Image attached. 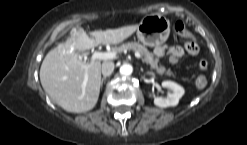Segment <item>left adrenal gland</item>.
Wrapping results in <instances>:
<instances>
[{
  "mask_svg": "<svg viewBox=\"0 0 247 145\" xmlns=\"http://www.w3.org/2000/svg\"><path fill=\"white\" fill-rule=\"evenodd\" d=\"M141 71L144 72L143 69H141ZM144 74H145V75H152V76H154V73H152V72H146V73H144Z\"/></svg>",
  "mask_w": 247,
  "mask_h": 145,
  "instance_id": "1",
  "label": "left adrenal gland"
}]
</instances>
